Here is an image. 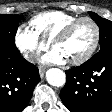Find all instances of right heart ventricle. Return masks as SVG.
Instances as JSON below:
<instances>
[{
  "instance_id": "1",
  "label": "right heart ventricle",
  "mask_w": 112,
  "mask_h": 112,
  "mask_svg": "<svg viewBox=\"0 0 112 112\" xmlns=\"http://www.w3.org/2000/svg\"><path fill=\"white\" fill-rule=\"evenodd\" d=\"M77 16L63 11H47L34 16L30 20L32 30L46 42L53 37Z\"/></svg>"
}]
</instances>
